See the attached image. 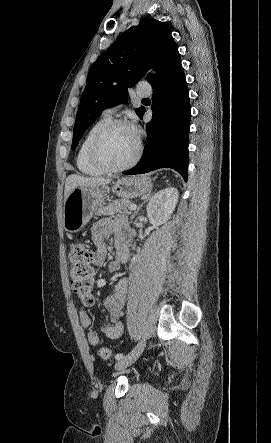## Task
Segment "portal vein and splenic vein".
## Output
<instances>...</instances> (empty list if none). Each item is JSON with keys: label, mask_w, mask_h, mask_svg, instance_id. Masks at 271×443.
Here are the masks:
<instances>
[{"label": "portal vein and splenic vein", "mask_w": 271, "mask_h": 443, "mask_svg": "<svg viewBox=\"0 0 271 443\" xmlns=\"http://www.w3.org/2000/svg\"><path fill=\"white\" fill-rule=\"evenodd\" d=\"M136 208V204H131V206H129V210H136Z\"/></svg>", "instance_id": "18ae733b"}]
</instances>
